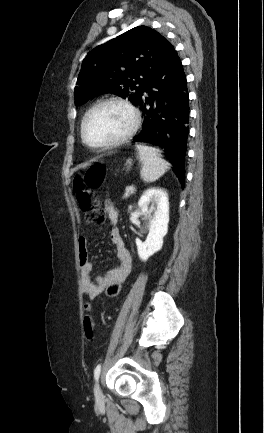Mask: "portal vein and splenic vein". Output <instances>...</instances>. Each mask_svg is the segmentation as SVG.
Returning a JSON list of instances; mask_svg holds the SVG:
<instances>
[{
	"label": "portal vein and splenic vein",
	"mask_w": 264,
	"mask_h": 433,
	"mask_svg": "<svg viewBox=\"0 0 264 433\" xmlns=\"http://www.w3.org/2000/svg\"><path fill=\"white\" fill-rule=\"evenodd\" d=\"M125 191H126V194H129V193L134 191V188L133 187H126Z\"/></svg>",
	"instance_id": "obj_1"
}]
</instances>
